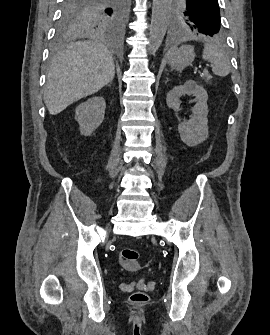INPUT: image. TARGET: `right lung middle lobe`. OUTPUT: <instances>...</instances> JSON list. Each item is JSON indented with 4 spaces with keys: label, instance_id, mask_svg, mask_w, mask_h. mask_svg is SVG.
I'll use <instances>...</instances> for the list:
<instances>
[{
    "label": "right lung middle lobe",
    "instance_id": "1",
    "mask_svg": "<svg viewBox=\"0 0 270 335\" xmlns=\"http://www.w3.org/2000/svg\"><path fill=\"white\" fill-rule=\"evenodd\" d=\"M126 11V0H63L56 44H62L78 32L119 29L124 24Z\"/></svg>",
    "mask_w": 270,
    "mask_h": 335
}]
</instances>
